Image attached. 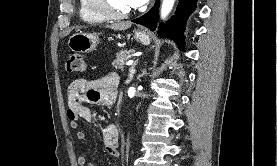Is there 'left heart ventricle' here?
<instances>
[{"label": "left heart ventricle", "mask_w": 277, "mask_h": 166, "mask_svg": "<svg viewBox=\"0 0 277 166\" xmlns=\"http://www.w3.org/2000/svg\"><path fill=\"white\" fill-rule=\"evenodd\" d=\"M107 7L116 13L127 12L132 9L129 0H103Z\"/></svg>", "instance_id": "obj_1"}]
</instances>
